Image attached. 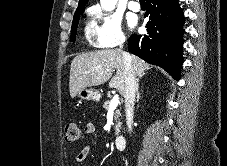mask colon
Listing matches in <instances>:
<instances>
[{
    "label": "colon",
    "instance_id": "colon-1",
    "mask_svg": "<svg viewBox=\"0 0 227 166\" xmlns=\"http://www.w3.org/2000/svg\"><path fill=\"white\" fill-rule=\"evenodd\" d=\"M65 138L68 143H77L83 139V133L79 127L74 123H67L65 125Z\"/></svg>",
    "mask_w": 227,
    "mask_h": 166
}]
</instances>
